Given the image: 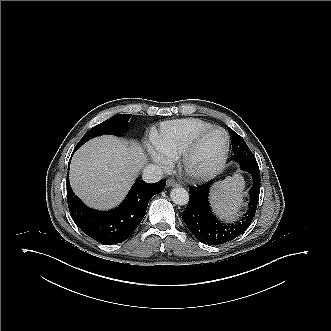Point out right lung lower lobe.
Returning <instances> with one entry per match:
<instances>
[{"label":"right lung lower lobe","mask_w":331,"mask_h":331,"mask_svg":"<svg viewBox=\"0 0 331 331\" xmlns=\"http://www.w3.org/2000/svg\"><path fill=\"white\" fill-rule=\"evenodd\" d=\"M78 148L76 146L73 152ZM66 182L68 206L76 225L102 244H117L133 234L146 213L148 201L165 188L166 181L162 179L148 184L143 180H136L124 201L117 208L106 212L85 206L71 189L69 176Z\"/></svg>","instance_id":"obj_1"}]
</instances>
